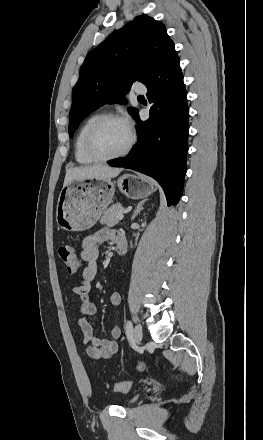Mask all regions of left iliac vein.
Segmentation results:
<instances>
[{
    "instance_id": "obj_1",
    "label": "left iliac vein",
    "mask_w": 263,
    "mask_h": 440,
    "mask_svg": "<svg viewBox=\"0 0 263 440\" xmlns=\"http://www.w3.org/2000/svg\"><path fill=\"white\" fill-rule=\"evenodd\" d=\"M134 341L136 344H140L142 340V327L140 324H137L133 330Z\"/></svg>"
}]
</instances>
